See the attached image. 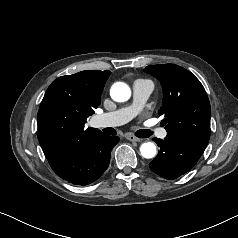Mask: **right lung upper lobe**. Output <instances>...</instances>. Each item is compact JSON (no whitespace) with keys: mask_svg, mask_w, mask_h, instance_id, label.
<instances>
[{"mask_svg":"<svg viewBox=\"0 0 238 238\" xmlns=\"http://www.w3.org/2000/svg\"><path fill=\"white\" fill-rule=\"evenodd\" d=\"M109 70H86L61 76L48 87L38 111V140L47 159L64 152L70 143L98 129L84 128L86 118L101 102Z\"/></svg>","mask_w":238,"mask_h":238,"instance_id":"cb5924a9","label":"right lung upper lobe"}]
</instances>
